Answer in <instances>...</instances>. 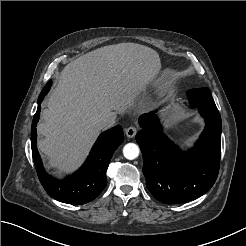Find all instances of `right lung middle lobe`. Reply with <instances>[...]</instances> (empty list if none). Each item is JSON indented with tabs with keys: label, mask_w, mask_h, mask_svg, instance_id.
Masks as SVG:
<instances>
[{
	"label": "right lung middle lobe",
	"mask_w": 246,
	"mask_h": 246,
	"mask_svg": "<svg viewBox=\"0 0 246 246\" xmlns=\"http://www.w3.org/2000/svg\"><path fill=\"white\" fill-rule=\"evenodd\" d=\"M51 84H52V82L50 80L49 82H47V84L45 85V87L43 88L42 91H44V90H47L48 91L50 89ZM39 98H40V95H39Z\"/></svg>",
	"instance_id": "dd1d6c3e"
}]
</instances>
